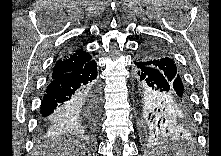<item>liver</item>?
Listing matches in <instances>:
<instances>
[{"mask_svg": "<svg viewBox=\"0 0 221 156\" xmlns=\"http://www.w3.org/2000/svg\"><path fill=\"white\" fill-rule=\"evenodd\" d=\"M36 156H85V146L72 138L56 137L39 145Z\"/></svg>", "mask_w": 221, "mask_h": 156, "instance_id": "1", "label": "liver"}]
</instances>
